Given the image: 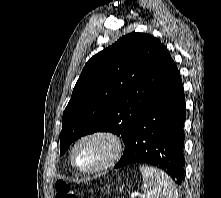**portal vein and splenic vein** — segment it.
<instances>
[{
    "instance_id": "18ae733b",
    "label": "portal vein and splenic vein",
    "mask_w": 221,
    "mask_h": 198,
    "mask_svg": "<svg viewBox=\"0 0 221 198\" xmlns=\"http://www.w3.org/2000/svg\"><path fill=\"white\" fill-rule=\"evenodd\" d=\"M132 197L133 198H136V197H138V194H134V195H132ZM142 198H145L144 196H141Z\"/></svg>"
}]
</instances>
